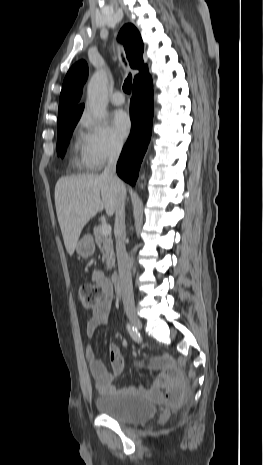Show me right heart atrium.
<instances>
[{
  "mask_svg": "<svg viewBox=\"0 0 263 465\" xmlns=\"http://www.w3.org/2000/svg\"><path fill=\"white\" fill-rule=\"evenodd\" d=\"M81 126V154L85 166L99 169L122 150L123 141L105 123L84 116Z\"/></svg>",
  "mask_w": 263,
  "mask_h": 465,
  "instance_id": "right-heart-atrium-1",
  "label": "right heart atrium"
}]
</instances>
